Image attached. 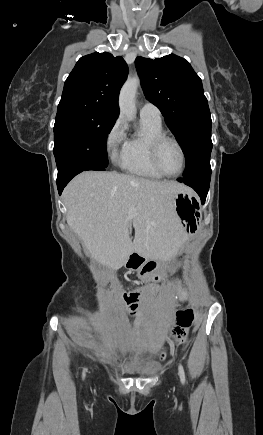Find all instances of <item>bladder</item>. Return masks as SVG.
Listing matches in <instances>:
<instances>
[{
	"label": "bladder",
	"mask_w": 263,
	"mask_h": 435,
	"mask_svg": "<svg viewBox=\"0 0 263 435\" xmlns=\"http://www.w3.org/2000/svg\"><path fill=\"white\" fill-rule=\"evenodd\" d=\"M158 370L157 366H147L127 369L126 372L135 375H151Z\"/></svg>",
	"instance_id": "1"
}]
</instances>
